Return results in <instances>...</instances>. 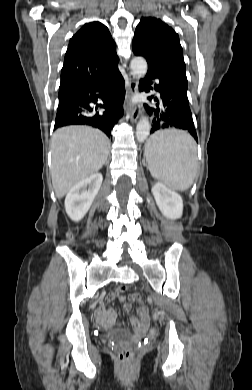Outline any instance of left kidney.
<instances>
[{"mask_svg": "<svg viewBox=\"0 0 252 390\" xmlns=\"http://www.w3.org/2000/svg\"><path fill=\"white\" fill-rule=\"evenodd\" d=\"M152 193L156 204L162 214L170 219H178L183 213L182 198L162 183H156L152 187Z\"/></svg>", "mask_w": 252, "mask_h": 390, "instance_id": "1", "label": "left kidney"}]
</instances>
